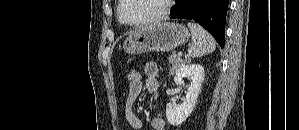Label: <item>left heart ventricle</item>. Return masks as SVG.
I'll use <instances>...</instances> for the list:
<instances>
[{"label": "left heart ventricle", "instance_id": "b2bd125f", "mask_svg": "<svg viewBox=\"0 0 299 130\" xmlns=\"http://www.w3.org/2000/svg\"><path fill=\"white\" fill-rule=\"evenodd\" d=\"M164 5V0H127L122 16L128 23L141 22L161 13Z\"/></svg>", "mask_w": 299, "mask_h": 130}]
</instances>
